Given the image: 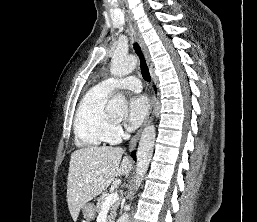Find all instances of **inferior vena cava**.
<instances>
[{
    "mask_svg": "<svg viewBox=\"0 0 257 222\" xmlns=\"http://www.w3.org/2000/svg\"><path fill=\"white\" fill-rule=\"evenodd\" d=\"M128 137H129V135H128V134H125V135H124V138H125V139H126V138H128Z\"/></svg>",
    "mask_w": 257,
    "mask_h": 222,
    "instance_id": "602c4592",
    "label": "inferior vena cava"
}]
</instances>
